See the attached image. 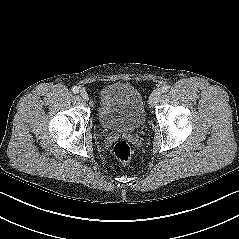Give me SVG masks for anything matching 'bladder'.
<instances>
[{"label": "bladder", "mask_w": 239, "mask_h": 239, "mask_svg": "<svg viewBox=\"0 0 239 239\" xmlns=\"http://www.w3.org/2000/svg\"><path fill=\"white\" fill-rule=\"evenodd\" d=\"M98 116L106 130L133 132L145 121L143 98L129 83H110L100 93Z\"/></svg>", "instance_id": "bladder-1"}]
</instances>
